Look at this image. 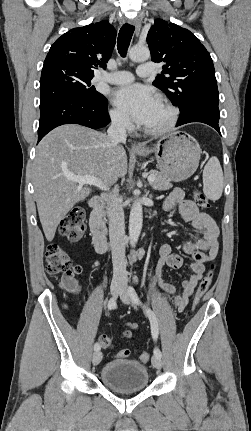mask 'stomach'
Segmentation results:
<instances>
[{"instance_id":"obj_1","label":"stomach","mask_w":251,"mask_h":431,"mask_svg":"<svg viewBox=\"0 0 251 431\" xmlns=\"http://www.w3.org/2000/svg\"><path fill=\"white\" fill-rule=\"evenodd\" d=\"M155 154L161 174L169 181L179 182L191 177L198 168L201 149L197 141L185 132L170 133L152 147H144L137 154Z\"/></svg>"}]
</instances>
